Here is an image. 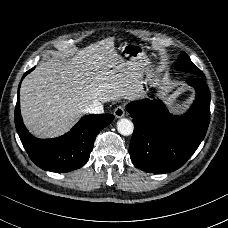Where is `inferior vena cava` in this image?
Listing matches in <instances>:
<instances>
[{
    "mask_svg": "<svg viewBox=\"0 0 228 228\" xmlns=\"http://www.w3.org/2000/svg\"><path fill=\"white\" fill-rule=\"evenodd\" d=\"M84 112L91 114L104 113V104L102 102L94 103L84 109Z\"/></svg>",
    "mask_w": 228,
    "mask_h": 228,
    "instance_id": "602c4592",
    "label": "inferior vena cava"
}]
</instances>
